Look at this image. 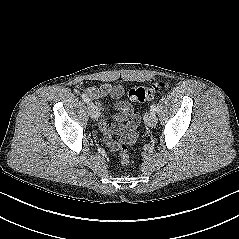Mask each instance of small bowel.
Returning <instances> with one entry per match:
<instances>
[{"mask_svg": "<svg viewBox=\"0 0 239 239\" xmlns=\"http://www.w3.org/2000/svg\"><path fill=\"white\" fill-rule=\"evenodd\" d=\"M85 91L95 101L97 108L101 110L100 130L106 144L111 148H116L118 142L115 140V136L117 135L126 136L130 143H134L136 141L135 130L138 122L134 120L136 115H134L131 105L126 101H119L124 94L123 87L121 85L104 83L99 87H89ZM105 97L116 100L115 109L118 111V114L115 116V119L118 121L117 125L109 122L110 107L100 101V99Z\"/></svg>", "mask_w": 239, "mask_h": 239, "instance_id": "obj_1", "label": "small bowel"}]
</instances>
